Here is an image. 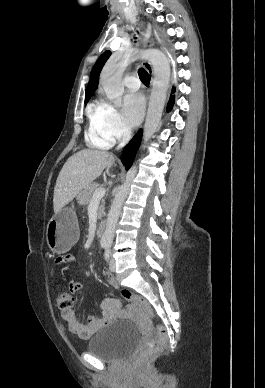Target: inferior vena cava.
Returning <instances> with one entry per match:
<instances>
[{
    "label": "inferior vena cava",
    "mask_w": 265,
    "mask_h": 388,
    "mask_svg": "<svg viewBox=\"0 0 265 388\" xmlns=\"http://www.w3.org/2000/svg\"><path fill=\"white\" fill-rule=\"evenodd\" d=\"M131 138V128H125V132L123 134L122 142H120L119 146H117L116 150H120V148H124L126 144H128L129 140Z\"/></svg>",
    "instance_id": "obj_1"
}]
</instances>
